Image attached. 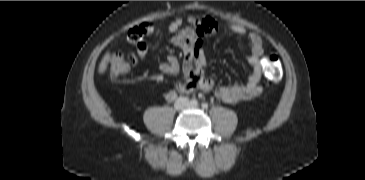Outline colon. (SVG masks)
I'll list each match as a JSON object with an SVG mask.
<instances>
[{
	"mask_svg": "<svg viewBox=\"0 0 365 180\" xmlns=\"http://www.w3.org/2000/svg\"><path fill=\"white\" fill-rule=\"evenodd\" d=\"M153 27L150 24L135 26L129 30L127 40L132 44H139L142 40L152 34ZM136 64V57L133 53L116 52L109 60V72L112 80H119L130 73ZM263 70L266 77L273 82L281 78V63L276 54H268L263 59Z\"/></svg>",
	"mask_w": 365,
	"mask_h": 180,
	"instance_id": "obj_1",
	"label": "colon"
}]
</instances>
